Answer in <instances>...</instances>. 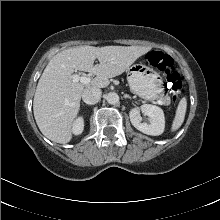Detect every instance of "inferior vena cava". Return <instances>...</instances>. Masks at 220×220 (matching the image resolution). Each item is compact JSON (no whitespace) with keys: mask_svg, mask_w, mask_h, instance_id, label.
I'll list each match as a JSON object with an SVG mask.
<instances>
[{"mask_svg":"<svg viewBox=\"0 0 220 220\" xmlns=\"http://www.w3.org/2000/svg\"><path fill=\"white\" fill-rule=\"evenodd\" d=\"M102 92L99 88L88 87L82 93V99L86 104L94 105L101 99Z\"/></svg>","mask_w":220,"mask_h":220,"instance_id":"inferior-vena-cava-1","label":"inferior vena cava"}]
</instances>
